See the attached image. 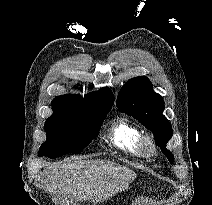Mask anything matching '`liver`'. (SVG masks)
<instances>
[{
	"instance_id": "obj_1",
	"label": "liver",
	"mask_w": 212,
	"mask_h": 205,
	"mask_svg": "<svg viewBox=\"0 0 212 205\" xmlns=\"http://www.w3.org/2000/svg\"><path fill=\"white\" fill-rule=\"evenodd\" d=\"M43 174L49 191L62 200L61 205H69L73 198L93 204L103 202L125 190L136 176L128 168L103 160L55 163Z\"/></svg>"
}]
</instances>
